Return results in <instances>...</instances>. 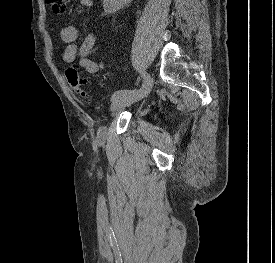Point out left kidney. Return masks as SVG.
I'll return each mask as SVG.
<instances>
[{
  "instance_id": "obj_1",
  "label": "left kidney",
  "mask_w": 275,
  "mask_h": 263,
  "mask_svg": "<svg viewBox=\"0 0 275 263\" xmlns=\"http://www.w3.org/2000/svg\"><path fill=\"white\" fill-rule=\"evenodd\" d=\"M132 0H103L104 11L107 13H114Z\"/></svg>"
}]
</instances>
